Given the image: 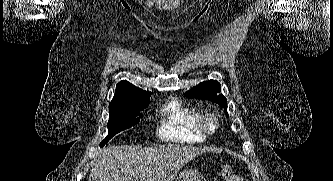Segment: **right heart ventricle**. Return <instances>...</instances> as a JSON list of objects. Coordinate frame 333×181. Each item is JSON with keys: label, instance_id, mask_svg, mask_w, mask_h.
I'll return each mask as SVG.
<instances>
[{"label": "right heart ventricle", "instance_id": "1", "mask_svg": "<svg viewBox=\"0 0 333 181\" xmlns=\"http://www.w3.org/2000/svg\"><path fill=\"white\" fill-rule=\"evenodd\" d=\"M201 113L180 100H171L161 110V122L158 129L160 139L174 143H200L205 135L198 127Z\"/></svg>", "mask_w": 333, "mask_h": 181}]
</instances>
